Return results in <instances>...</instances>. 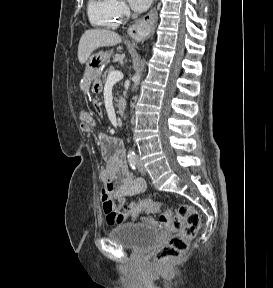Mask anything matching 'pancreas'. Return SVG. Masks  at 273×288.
Wrapping results in <instances>:
<instances>
[{
  "label": "pancreas",
  "instance_id": "1",
  "mask_svg": "<svg viewBox=\"0 0 273 288\" xmlns=\"http://www.w3.org/2000/svg\"><path fill=\"white\" fill-rule=\"evenodd\" d=\"M113 71H115V69H114L113 66H110L109 68H107V69L104 71V73H103V75H102V80H103L104 83L107 81L108 75H109L111 72H113Z\"/></svg>",
  "mask_w": 273,
  "mask_h": 288
}]
</instances>
